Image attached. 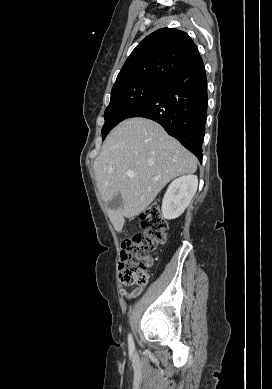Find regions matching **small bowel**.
I'll return each instance as SVG.
<instances>
[{"label":"small bowel","mask_w":272,"mask_h":389,"mask_svg":"<svg viewBox=\"0 0 272 389\" xmlns=\"http://www.w3.org/2000/svg\"><path fill=\"white\" fill-rule=\"evenodd\" d=\"M151 264H152V260L150 258H148L147 259V266L149 267ZM121 292L127 298H134V297H137L142 292V288H136L133 291H128V290L122 289Z\"/></svg>","instance_id":"1"}]
</instances>
